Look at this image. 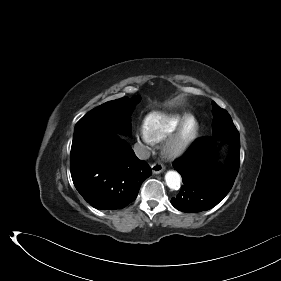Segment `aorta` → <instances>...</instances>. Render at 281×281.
I'll return each mask as SVG.
<instances>
[{"instance_id":"762f6f07","label":"aorta","mask_w":281,"mask_h":281,"mask_svg":"<svg viewBox=\"0 0 281 281\" xmlns=\"http://www.w3.org/2000/svg\"><path fill=\"white\" fill-rule=\"evenodd\" d=\"M165 181L170 189L177 190L180 187L181 176L176 171H168L165 174Z\"/></svg>"}]
</instances>
